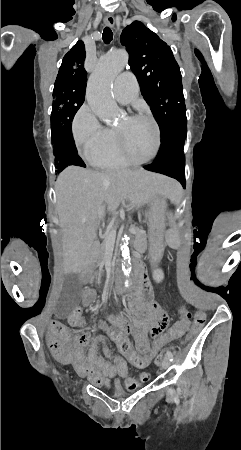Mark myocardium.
<instances>
[{
  "mask_svg": "<svg viewBox=\"0 0 241 450\" xmlns=\"http://www.w3.org/2000/svg\"><path fill=\"white\" fill-rule=\"evenodd\" d=\"M126 59H127V57H126ZM153 127H158V122H153ZM116 131V130H115ZM125 131H124V129L123 128H120V129H118V131H117V137H116V142L118 143V144H120L119 145V148L120 149H122L121 151H122V153H124V156H125V158H126V161L127 162H130L131 161V158H130V156H129V153L127 152L128 150L124 147V145H123V143L125 142L124 140H123V133H124ZM161 130H156L155 132H154V137H157L156 138V140H154V148H152V152H153V157H155V158H158L159 157V154H158V152H157V149H159V143L160 142H163V137H159L160 135H161ZM145 162H151V160H145Z\"/></svg>",
  "mask_w": 241,
  "mask_h": 450,
  "instance_id": "1",
  "label": "myocardium"
}]
</instances>
